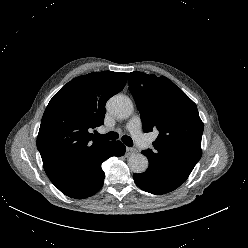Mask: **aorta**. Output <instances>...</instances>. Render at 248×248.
<instances>
[{"label": "aorta", "instance_id": "obj_1", "mask_svg": "<svg viewBox=\"0 0 248 248\" xmlns=\"http://www.w3.org/2000/svg\"><path fill=\"white\" fill-rule=\"evenodd\" d=\"M108 111L116 118L126 119L133 113V103L125 95H115L107 103ZM128 166L133 173H143L148 168V159L140 153L132 154L128 158Z\"/></svg>", "mask_w": 248, "mask_h": 248}]
</instances>
